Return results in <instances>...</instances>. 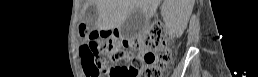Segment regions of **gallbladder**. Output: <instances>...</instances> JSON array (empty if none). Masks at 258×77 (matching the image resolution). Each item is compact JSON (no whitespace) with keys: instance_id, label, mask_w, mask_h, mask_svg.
I'll use <instances>...</instances> for the list:
<instances>
[{"instance_id":"gallbladder-1","label":"gallbladder","mask_w":258,"mask_h":77,"mask_svg":"<svg viewBox=\"0 0 258 77\" xmlns=\"http://www.w3.org/2000/svg\"><path fill=\"white\" fill-rule=\"evenodd\" d=\"M147 22V16L136 8L121 25L120 34L123 38L132 39L142 32Z\"/></svg>"}]
</instances>
